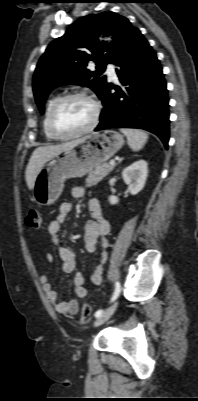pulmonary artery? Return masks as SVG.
Listing matches in <instances>:
<instances>
[{"label": "pulmonary artery", "instance_id": "1", "mask_svg": "<svg viewBox=\"0 0 198 401\" xmlns=\"http://www.w3.org/2000/svg\"><path fill=\"white\" fill-rule=\"evenodd\" d=\"M107 74L110 79L117 80V75L115 72V67L112 64L107 65Z\"/></svg>", "mask_w": 198, "mask_h": 401}]
</instances>
